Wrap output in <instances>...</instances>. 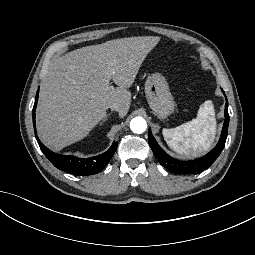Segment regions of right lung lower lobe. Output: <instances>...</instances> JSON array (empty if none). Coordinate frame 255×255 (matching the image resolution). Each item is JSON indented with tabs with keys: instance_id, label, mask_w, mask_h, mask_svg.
Returning a JSON list of instances; mask_svg holds the SVG:
<instances>
[{
	"instance_id": "obj_1",
	"label": "right lung lower lobe",
	"mask_w": 255,
	"mask_h": 255,
	"mask_svg": "<svg viewBox=\"0 0 255 255\" xmlns=\"http://www.w3.org/2000/svg\"><path fill=\"white\" fill-rule=\"evenodd\" d=\"M38 93L37 91L36 98H35V103L32 111L33 115V125H34V131L35 135L36 133V128H35V109L38 101ZM40 149L42 152L45 154V156L51 161V163L57 167L58 169L74 174V175H79V176H85V175H92L100 172L110 161L112 158L113 154L115 153L117 149L118 142L115 141L111 145V147L103 154L91 157V158H77L75 156H66V155H61V154H56L46 148L38 138H36Z\"/></svg>"
}]
</instances>
